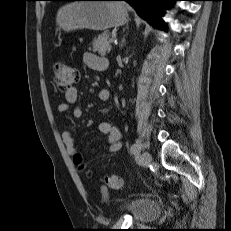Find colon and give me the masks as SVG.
Returning <instances> with one entry per match:
<instances>
[{
    "label": "colon",
    "instance_id": "colon-1",
    "mask_svg": "<svg viewBox=\"0 0 231 231\" xmlns=\"http://www.w3.org/2000/svg\"><path fill=\"white\" fill-rule=\"evenodd\" d=\"M54 80L57 88L61 91H67L79 80V71L64 62H57L53 67ZM76 161L80 163L81 158L76 157ZM105 188L118 189L123 185V178L119 175H108L104 178Z\"/></svg>",
    "mask_w": 231,
    "mask_h": 231
}]
</instances>
